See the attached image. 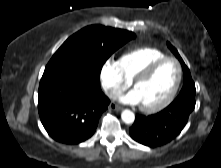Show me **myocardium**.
I'll return each instance as SVG.
<instances>
[{
  "instance_id": "obj_1",
  "label": "myocardium",
  "mask_w": 221,
  "mask_h": 168,
  "mask_svg": "<svg viewBox=\"0 0 221 168\" xmlns=\"http://www.w3.org/2000/svg\"><path fill=\"white\" fill-rule=\"evenodd\" d=\"M168 61H172L177 65V69H178V76H177V80L176 83L173 87V89L171 90V92L168 94V96L162 100L161 102L155 104V105H151V106H145V105H141V109L144 112L147 113H155L158 112L164 108H166L176 97L179 88L181 86L182 83V79H183V69H182V65L180 63V61L178 59H176L175 57H171V56H166L163 57L161 59H158L152 63H150L146 68H144L140 73H138L133 79H132V87L135 88V86L146 80L148 77H150V75L163 63L168 62Z\"/></svg>"
}]
</instances>
